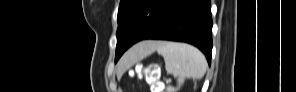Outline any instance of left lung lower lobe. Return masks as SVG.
<instances>
[{"label": "left lung lower lobe", "mask_w": 296, "mask_h": 92, "mask_svg": "<svg viewBox=\"0 0 296 92\" xmlns=\"http://www.w3.org/2000/svg\"><path fill=\"white\" fill-rule=\"evenodd\" d=\"M210 0H170L162 20L144 39L172 40L199 48L211 63L212 18Z\"/></svg>", "instance_id": "1"}]
</instances>
